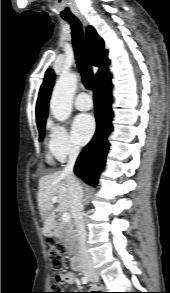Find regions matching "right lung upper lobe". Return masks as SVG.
I'll return each instance as SVG.
<instances>
[{
  "mask_svg": "<svg viewBox=\"0 0 170 293\" xmlns=\"http://www.w3.org/2000/svg\"><path fill=\"white\" fill-rule=\"evenodd\" d=\"M87 52L91 63L100 69L96 74V83L105 76L110 75L107 67L109 59L107 58V50L104 49V41L100 38L92 26H88L86 30ZM55 75L52 69H48L45 73L43 84L41 85L38 100L36 104V120L38 128L45 126L48 113V102L50 93L54 85Z\"/></svg>",
  "mask_w": 170,
  "mask_h": 293,
  "instance_id": "cb5924a9",
  "label": "right lung upper lobe"
}]
</instances>
